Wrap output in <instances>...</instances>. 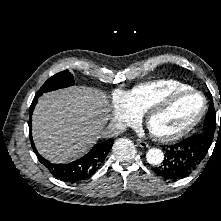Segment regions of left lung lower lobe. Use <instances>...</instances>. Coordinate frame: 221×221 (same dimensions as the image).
I'll return each mask as SVG.
<instances>
[{"label":"left lung lower lobe","instance_id":"0a47b994","mask_svg":"<svg viewBox=\"0 0 221 221\" xmlns=\"http://www.w3.org/2000/svg\"><path fill=\"white\" fill-rule=\"evenodd\" d=\"M208 143L192 136L167 148L162 164L153 168L164 179L177 180L191 174L208 151Z\"/></svg>","mask_w":221,"mask_h":221}]
</instances>
